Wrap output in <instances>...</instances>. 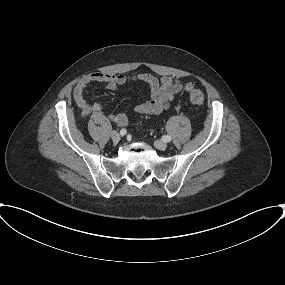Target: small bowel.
I'll return each instance as SVG.
<instances>
[{
  "label": "small bowel",
  "instance_id": "c3829d8e",
  "mask_svg": "<svg viewBox=\"0 0 285 285\" xmlns=\"http://www.w3.org/2000/svg\"><path fill=\"white\" fill-rule=\"evenodd\" d=\"M92 82H104L109 90H116L119 86L132 82L147 84L150 90V99L135 107V111L141 115L160 114L169 107L175 95L184 89L183 80L177 77L163 76L158 78L151 74L126 76L104 72L91 73L82 78L74 88V99L83 117H87L92 113H100L103 109L100 102L89 103L85 98V93ZM109 119L120 126L129 124V119L123 112L110 114Z\"/></svg>",
  "mask_w": 285,
  "mask_h": 285
}]
</instances>
